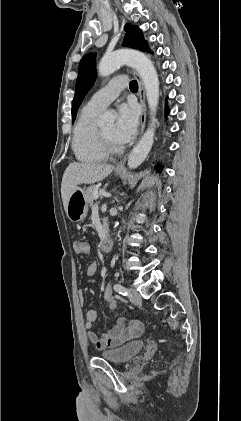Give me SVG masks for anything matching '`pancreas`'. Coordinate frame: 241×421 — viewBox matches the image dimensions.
I'll use <instances>...</instances> for the list:
<instances>
[{"mask_svg":"<svg viewBox=\"0 0 241 421\" xmlns=\"http://www.w3.org/2000/svg\"><path fill=\"white\" fill-rule=\"evenodd\" d=\"M97 190H98V186L93 185V186H90L85 192V200L90 206H92L93 204L94 193L97 192Z\"/></svg>","mask_w":241,"mask_h":421,"instance_id":"pancreas-1","label":"pancreas"}]
</instances>
